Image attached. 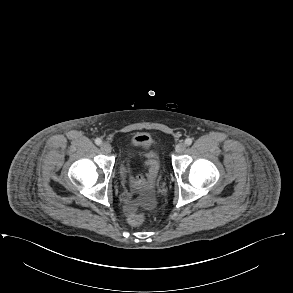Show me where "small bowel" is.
<instances>
[{
	"label": "small bowel",
	"mask_w": 293,
	"mask_h": 293,
	"mask_svg": "<svg viewBox=\"0 0 293 293\" xmlns=\"http://www.w3.org/2000/svg\"><path fill=\"white\" fill-rule=\"evenodd\" d=\"M132 142L136 145H145L148 143V137L145 135L139 134L134 137ZM133 186L138 189H142L145 185L143 183V180L137 179L133 181ZM121 200L123 202L125 213L128 216L133 215L137 207V200L129 192H124L121 196Z\"/></svg>",
	"instance_id": "1"
}]
</instances>
